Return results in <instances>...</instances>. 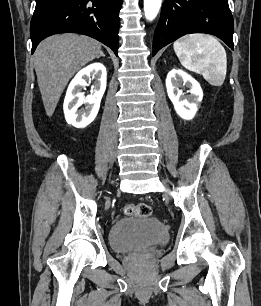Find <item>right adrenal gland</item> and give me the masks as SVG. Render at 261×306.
<instances>
[{
    "label": "right adrenal gland",
    "mask_w": 261,
    "mask_h": 306,
    "mask_svg": "<svg viewBox=\"0 0 261 306\" xmlns=\"http://www.w3.org/2000/svg\"><path fill=\"white\" fill-rule=\"evenodd\" d=\"M99 57H105V55L103 54V52H101Z\"/></svg>",
    "instance_id": "1"
}]
</instances>
